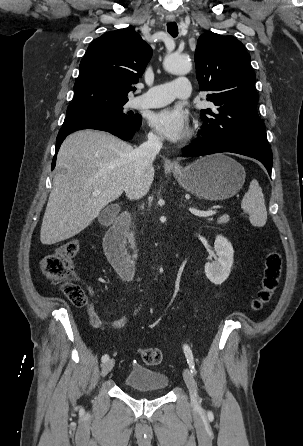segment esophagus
Segmentation results:
<instances>
[{
    "label": "esophagus",
    "instance_id": "esophagus-1",
    "mask_svg": "<svg viewBox=\"0 0 303 446\" xmlns=\"http://www.w3.org/2000/svg\"><path fill=\"white\" fill-rule=\"evenodd\" d=\"M167 21H168V22H174V21H175V18H173V17H169V18H167ZM172 164L175 165L176 163H175V162H172Z\"/></svg>",
    "mask_w": 303,
    "mask_h": 446
}]
</instances>
